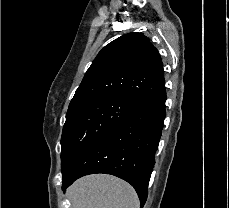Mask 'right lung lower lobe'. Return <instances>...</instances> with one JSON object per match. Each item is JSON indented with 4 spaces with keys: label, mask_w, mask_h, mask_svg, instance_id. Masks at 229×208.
Returning a JSON list of instances; mask_svg holds the SVG:
<instances>
[{
    "label": "right lung lower lobe",
    "mask_w": 229,
    "mask_h": 208,
    "mask_svg": "<svg viewBox=\"0 0 229 208\" xmlns=\"http://www.w3.org/2000/svg\"><path fill=\"white\" fill-rule=\"evenodd\" d=\"M165 100L166 91L93 142L62 176V189L84 175L112 174L135 188L143 208L166 116Z\"/></svg>",
    "instance_id": "right-lung-lower-lobe-1"
}]
</instances>
